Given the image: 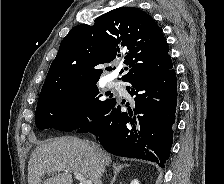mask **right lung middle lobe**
<instances>
[{
  "instance_id": "obj_1",
  "label": "right lung middle lobe",
  "mask_w": 224,
  "mask_h": 184,
  "mask_svg": "<svg viewBox=\"0 0 224 184\" xmlns=\"http://www.w3.org/2000/svg\"><path fill=\"white\" fill-rule=\"evenodd\" d=\"M96 82L72 85L38 102L35 123L38 129L54 128L71 132L96 120L113 100H101Z\"/></svg>"
}]
</instances>
